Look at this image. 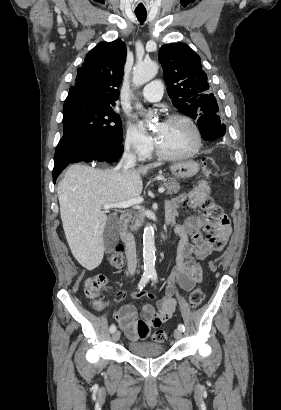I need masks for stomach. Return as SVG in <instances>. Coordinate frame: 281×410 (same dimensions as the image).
Segmentation results:
<instances>
[{"mask_svg":"<svg viewBox=\"0 0 281 410\" xmlns=\"http://www.w3.org/2000/svg\"><path fill=\"white\" fill-rule=\"evenodd\" d=\"M170 171L177 178H189L197 174L199 164L193 160L181 161L172 164Z\"/></svg>","mask_w":281,"mask_h":410,"instance_id":"stomach-1","label":"stomach"}]
</instances>
